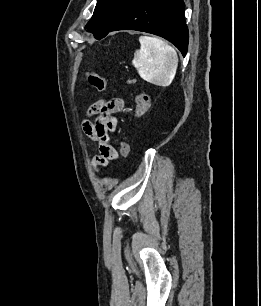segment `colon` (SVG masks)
Listing matches in <instances>:
<instances>
[{"mask_svg":"<svg viewBox=\"0 0 261 306\" xmlns=\"http://www.w3.org/2000/svg\"><path fill=\"white\" fill-rule=\"evenodd\" d=\"M89 84L97 91H104L106 88V79L98 72H89L87 74ZM150 107V97L147 93L141 92L135 97L134 116L140 117L145 114ZM120 153L124 157H128L131 153L129 144L126 142L119 143Z\"/></svg>","mask_w":261,"mask_h":306,"instance_id":"colon-1","label":"colon"}]
</instances>
